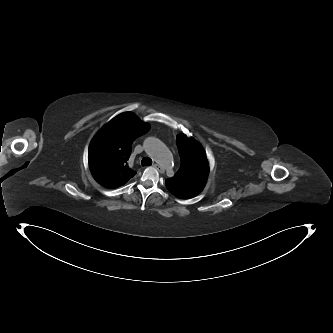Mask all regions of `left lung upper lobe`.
<instances>
[{"instance_id":"5c2ea615","label":"left lung upper lobe","mask_w":333,"mask_h":333,"mask_svg":"<svg viewBox=\"0 0 333 333\" xmlns=\"http://www.w3.org/2000/svg\"><path fill=\"white\" fill-rule=\"evenodd\" d=\"M177 146L181 158V167L177 173L168 178L166 188L176 197L191 199L204 188L209 164L201 145L185 134L177 136Z\"/></svg>"}]
</instances>
